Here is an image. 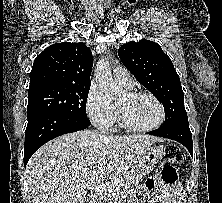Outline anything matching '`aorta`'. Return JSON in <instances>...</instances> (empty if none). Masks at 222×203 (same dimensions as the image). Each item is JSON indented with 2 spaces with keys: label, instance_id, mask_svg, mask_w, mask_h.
Instances as JSON below:
<instances>
[{
  "label": "aorta",
  "instance_id": "aorta-1",
  "mask_svg": "<svg viewBox=\"0 0 222 203\" xmlns=\"http://www.w3.org/2000/svg\"><path fill=\"white\" fill-rule=\"evenodd\" d=\"M95 80L99 89L108 97L114 98L120 93V88L114 83L109 62L101 59L95 68Z\"/></svg>",
  "mask_w": 222,
  "mask_h": 203
}]
</instances>
